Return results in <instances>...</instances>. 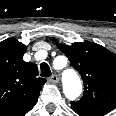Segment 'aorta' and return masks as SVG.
I'll use <instances>...</instances> for the list:
<instances>
[{"mask_svg":"<svg viewBox=\"0 0 116 116\" xmlns=\"http://www.w3.org/2000/svg\"><path fill=\"white\" fill-rule=\"evenodd\" d=\"M63 92L69 100H75L82 92V84L77 73L72 69H66L62 75Z\"/></svg>","mask_w":116,"mask_h":116,"instance_id":"aorta-1","label":"aorta"}]
</instances>
